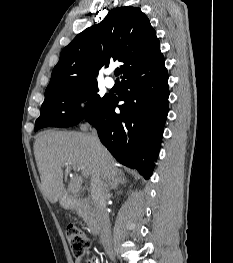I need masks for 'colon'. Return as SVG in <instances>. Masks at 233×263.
Instances as JSON below:
<instances>
[{
    "label": "colon",
    "mask_w": 233,
    "mask_h": 263,
    "mask_svg": "<svg viewBox=\"0 0 233 263\" xmlns=\"http://www.w3.org/2000/svg\"><path fill=\"white\" fill-rule=\"evenodd\" d=\"M66 237L73 256L77 259L85 258L91 248L90 239L85 232L77 226L68 225L66 228Z\"/></svg>",
    "instance_id": "colon-1"
}]
</instances>
